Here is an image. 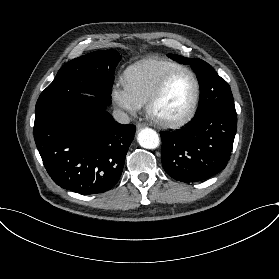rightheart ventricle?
Here are the masks:
<instances>
[{
    "mask_svg": "<svg viewBox=\"0 0 279 279\" xmlns=\"http://www.w3.org/2000/svg\"><path fill=\"white\" fill-rule=\"evenodd\" d=\"M183 68L186 67L169 59H146L128 68L124 82L132 92L146 102L167 74Z\"/></svg>",
    "mask_w": 279,
    "mask_h": 279,
    "instance_id": "1",
    "label": "right heart ventricle"
}]
</instances>
